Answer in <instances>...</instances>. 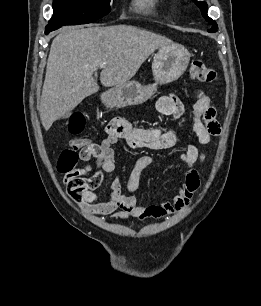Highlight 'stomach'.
<instances>
[{"label":"stomach","mask_w":261,"mask_h":306,"mask_svg":"<svg viewBox=\"0 0 261 306\" xmlns=\"http://www.w3.org/2000/svg\"><path fill=\"white\" fill-rule=\"evenodd\" d=\"M189 60L190 54L184 46L176 43L162 46L153 58V84L128 81L116 85L101 95L102 103L110 108L142 104L156 92L158 84L176 81L187 69Z\"/></svg>","instance_id":"obj_1"}]
</instances>
